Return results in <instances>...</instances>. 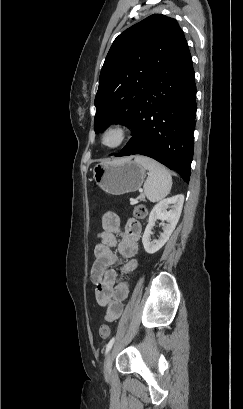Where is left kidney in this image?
I'll return each mask as SVG.
<instances>
[{"label": "left kidney", "instance_id": "5707ae66", "mask_svg": "<svg viewBox=\"0 0 243 409\" xmlns=\"http://www.w3.org/2000/svg\"><path fill=\"white\" fill-rule=\"evenodd\" d=\"M184 203V196L182 194L166 198L156 204L150 212L149 221L145 228L142 243L145 251L148 254H154L160 250L168 241L170 235L174 231L181 215ZM168 208H171L169 211ZM160 219L167 221L164 225L163 233H161L158 240L151 241V232L155 226V222Z\"/></svg>", "mask_w": 243, "mask_h": 409}]
</instances>
